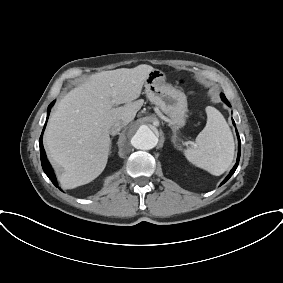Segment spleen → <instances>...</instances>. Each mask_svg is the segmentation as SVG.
<instances>
[{"mask_svg":"<svg viewBox=\"0 0 283 283\" xmlns=\"http://www.w3.org/2000/svg\"><path fill=\"white\" fill-rule=\"evenodd\" d=\"M207 123L196 137V145L184 150V155L195 166L219 176L234 158V139L223 115L214 107H206Z\"/></svg>","mask_w":283,"mask_h":283,"instance_id":"spleen-1","label":"spleen"}]
</instances>
